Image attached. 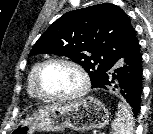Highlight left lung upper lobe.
Returning <instances> with one entry per match:
<instances>
[{
	"label": "left lung upper lobe",
	"instance_id": "1",
	"mask_svg": "<svg viewBox=\"0 0 153 134\" xmlns=\"http://www.w3.org/2000/svg\"><path fill=\"white\" fill-rule=\"evenodd\" d=\"M138 48L126 13L117 5L103 3L65 13L42 34L30 54L69 57L84 67L94 87Z\"/></svg>",
	"mask_w": 153,
	"mask_h": 134
}]
</instances>
